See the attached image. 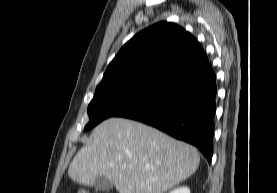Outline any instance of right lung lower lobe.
Here are the masks:
<instances>
[{"label": "right lung lower lobe", "mask_w": 277, "mask_h": 193, "mask_svg": "<svg viewBox=\"0 0 277 193\" xmlns=\"http://www.w3.org/2000/svg\"><path fill=\"white\" fill-rule=\"evenodd\" d=\"M216 76L209 63L156 89L118 114L156 127L213 156Z\"/></svg>", "instance_id": "right-lung-lower-lobe-1"}]
</instances>
